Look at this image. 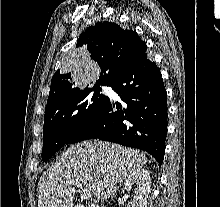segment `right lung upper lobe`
Segmentation results:
<instances>
[{
	"mask_svg": "<svg viewBox=\"0 0 220 207\" xmlns=\"http://www.w3.org/2000/svg\"><path fill=\"white\" fill-rule=\"evenodd\" d=\"M77 46H86L90 58L101 67L96 85L109 84L129 63L147 50L136 32L108 21L89 26L80 35ZM78 89L71 73H60L58 70L51 80L47 107L61 96Z\"/></svg>",
	"mask_w": 220,
	"mask_h": 207,
	"instance_id": "cb5924a9",
	"label": "right lung upper lobe"
}]
</instances>
